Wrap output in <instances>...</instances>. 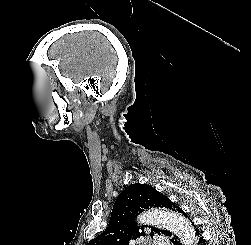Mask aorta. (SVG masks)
<instances>
[{
  "mask_svg": "<svg viewBox=\"0 0 251 245\" xmlns=\"http://www.w3.org/2000/svg\"><path fill=\"white\" fill-rule=\"evenodd\" d=\"M139 222L166 228L178 235L182 245H195L196 236L192 224L180 214L160 209L149 210L139 217Z\"/></svg>",
  "mask_w": 251,
  "mask_h": 245,
  "instance_id": "762f6f07",
  "label": "aorta"
}]
</instances>
